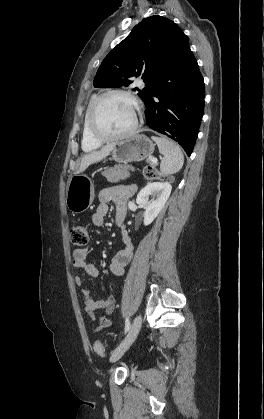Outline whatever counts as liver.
<instances>
[{"label": "liver", "mask_w": 264, "mask_h": 419, "mask_svg": "<svg viewBox=\"0 0 264 419\" xmlns=\"http://www.w3.org/2000/svg\"><path fill=\"white\" fill-rule=\"evenodd\" d=\"M115 144H108L98 151H93L82 157L78 170L75 174H79L87 169V167L95 162L106 158L113 150Z\"/></svg>", "instance_id": "liver-1"}]
</instances>
